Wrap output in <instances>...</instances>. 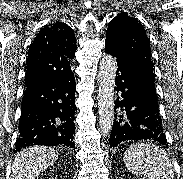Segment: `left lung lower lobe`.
Instances as JSON below:
<instances>
[{
	"label": "left lung lower lobe",
	"mask_w": 183,
	"mask_h": 179,
	"mask_svg": "<svg viewBox=\"0 0 183 179\" xmlns=\"http://www.w3.org/2000/svg\"><path fill=\"white\" fill-rule=\"evenodd\" d=\"M105 52L117 58L115 122L109 143L115 147L126 140H150L166 145L157 97L154 96L141 69L110 45ZM121 98L122 100H119Z\"/></svg>",
	"instance_id": "left-lung-lower-lobe-1"
}]
</instances>
